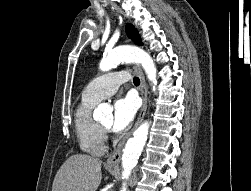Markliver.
Here are the masks:
<instances>
[{"mask_svg": "<svg viewBox=\"0 0 251 191\" xmlns=\"http://www.w3.org/2000/svg\"><path fill=\"white\" fill-rule=\"evenodd\" d=\"M101 159L76 153L58 169L52 191H96L101 179Z\"/></svg>", "mask_w": 251, "mask_h": 191, "instance_id": "obj_1", "label": "liver"}]
</instances>
